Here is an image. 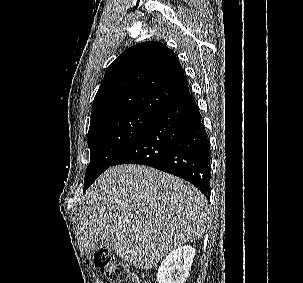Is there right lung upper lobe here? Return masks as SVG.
Here are the masks:
<instances>
[{"mask_svg": "<svg viewBox=\"0 0 303 283\" xmlns=\"http://www.w3.org/2000/svg\"><path fill=\"white\" fill-rule=\"evenodd\" d=\"M183 69L164 44L147 41L124 51L106 70L90 125L125 112H159L189 95Z\"/></svg>", "mask_w": 303, "mask_h": 283, "instance_id": "1", "label": "right lung upper lobe"}]
</instances>
